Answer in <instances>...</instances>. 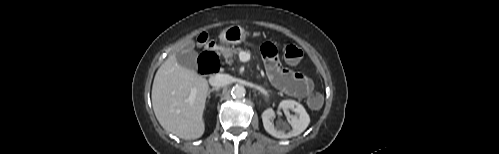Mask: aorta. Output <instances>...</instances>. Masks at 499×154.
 <instances>
[{"mask_svg":"<svg viewBox=\"0 0 499 154\" xmlns=\"http://www.w3.org/2000/svg\"><path fill=\"white\" fill-rule=\"evenodd\" d=\"M246 94V90L243 86L241 85H236L232 88L231 90V95L234 97V98H242L244 97Z\"/></svg>","mask_w":499,"mask_h":154,"instance_id":"obj_1","label":"aorta"}]
</instances>
